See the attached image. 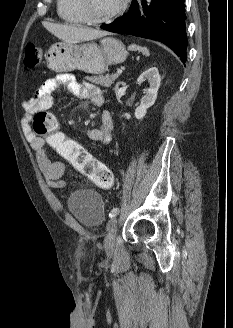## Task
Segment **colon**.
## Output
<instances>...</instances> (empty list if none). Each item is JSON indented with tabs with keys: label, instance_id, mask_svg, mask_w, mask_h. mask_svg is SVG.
Here are the masks:
<instances>
[{
	"label": "colon",
	"instance_id": "1",
	"mask_svg": "<svg viewBox=\"0 0 233 328\" xmlns=\"http://www.w3.org/2000/svg\"><path fill=\"white\" fill-rule=\"evenodd\" d=\"M42 50L33 43L27 44L23 60L26 71L34 70L40 63ZM32 127L35 135L42 138L62 157L102 189H110L114 178L111 170L94 158L80 144L66 137L59 130L56 116L48 111H38L33 115Z\"/></svg>",
	"mask_w": 233,
	"mask_h": 328
}]
</instances>
